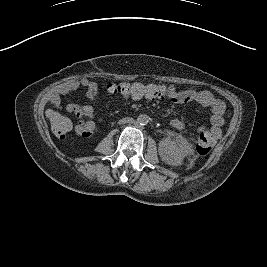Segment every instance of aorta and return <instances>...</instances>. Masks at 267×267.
<instances>
[{"instance_id": "obj_1", "label": "aorta", "mask_w": 267, "mask_h": 267, "mask_svg": "<svg viewBox=\"0 0 267 267\" xmlns=\"http://www.w3.org/2000/svg\"><path fill=\"white\" fill-rule=\"evenodd\" d=\"M148 121H149V117L145 114H141L137 118V124L141 125V126L146 125L148 123Z\"/></svg>"}]
</instances>
